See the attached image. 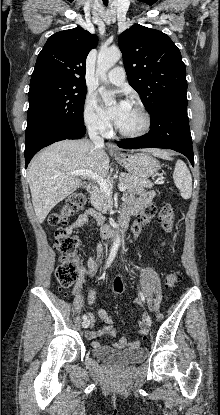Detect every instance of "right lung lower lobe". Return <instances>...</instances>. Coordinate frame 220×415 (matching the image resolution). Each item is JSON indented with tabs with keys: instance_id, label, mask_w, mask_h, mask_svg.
<instances>
[{
	"instance_id": "right-lung-lower-lobe-1",
	"label": "right lung lower lobe",
	"mask_w": 220,
	"mask_h": 415,
	"mask_svg": "<svg viewBox=\"0 0 220 415\" xmlns=\"http://www.w3.org/2000/svg\"><path fill=\"white\" fill-rule=\"evenodd\" d=\"M86 133V127L61 129H44L25 141V165L28 166L32 157L43 147L64 139H80Z\"/></svg>"
}]
</instances>
